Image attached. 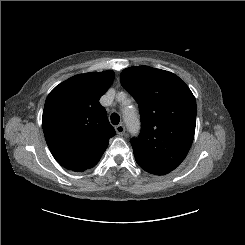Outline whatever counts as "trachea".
<instances>
[{
    "instance_id": "1",
    "label": "trachea",
    "mask_w": 245,
    "mask_h": 245,
    "mask_svg": "<svg viewBox=\"0 0 245 245\" xmlns=\"http://www.w3.org/2000/svg\"><path fill=\"white\" fill-rule=\"evenodd\" d=\"M119 121H120V116L117 113H112L111 114V123L113 125H118Z\"/></svg>"
}]
</instances>
